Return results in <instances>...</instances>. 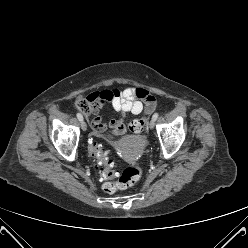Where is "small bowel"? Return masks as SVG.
I'll list each match as a JSON object with an SVG mask.
<instances>
[{
    "label": "small bowel",
    "instance_id": "obj_1",
    "mask_svg": "<svg viewBox=\"0 0 248 248\" xmlns=\"http://www.w3.org/2000/svg\"><path fill=\"white\" fill-rule=\"evenodd\" d=\"M89 103H96L95 118L91 123L92 132L94 135H102L109 128L115 135H122L127 130V125L124 118L129 115H138L145 111L153 113L157 108V101L150 98L149 91L140 87H127L121 91L116 89L101 90L98 95L89 94L87 96ZM107 103H110L113 109L121 116L119 120H111L108 123L104 122L99 108ZM130 126V124H129ZM128 126V127H129ZM92 143V141H90Z\"/></svg>",
    "mask_w": 248,
    "mask_h": 248
}]
</instances>
